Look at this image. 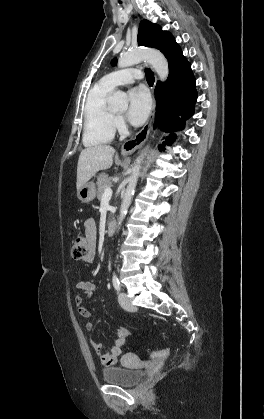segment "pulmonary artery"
<instances>
[{
	"label": "pulmonary artery",
	"mask_w": 264,
	"mask_h": 419,
	"mask_svg": "<svg viewBox=\"0 0 264 419\" xmlns=\"http://www.w3.org/2000/svg\"><path fill=\"white\" fill-rule=\"evenodd\" d=\"M142 73L133 68L118 70L104 76L101 81L109 88H115L119 85H125L142 78Z\"/></svg>",
	"instance_id": "1"
}]
</instances>
